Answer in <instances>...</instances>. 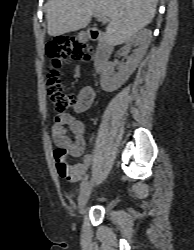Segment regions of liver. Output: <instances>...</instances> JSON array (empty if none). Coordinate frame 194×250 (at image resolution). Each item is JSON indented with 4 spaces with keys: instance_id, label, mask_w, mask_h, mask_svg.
Masks as SVG:
<instances>
[{
    "instance_id": "liver-1",
    "label": "liver",
    "mask_w": 194,
    "mask_h": 250,
    "mask_svg": "<svg viewBox=\"0 0 194 250\" xmlns=\"http://www.w3.org/2000/svg\"><path fill=\"white\" fill-rule=\"evenodd\" d=\"M158 0H48V34L56 37L87 27L92 15L110 19L105 40L116 46L129 40L155 16Z\"/></svg>"
}]
</instances>
